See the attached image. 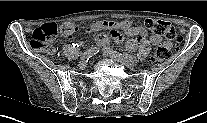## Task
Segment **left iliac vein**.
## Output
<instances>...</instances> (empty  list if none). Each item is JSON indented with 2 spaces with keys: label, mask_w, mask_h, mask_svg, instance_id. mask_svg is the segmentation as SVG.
<instances>
[{
  "label": "left iliac vein",
  "mask_w": 207,
  "mask_h": 123,
  "mask_svg": "<svg viewBox=\"0 0 207 123\" xmlns=\"http://www.w3.org/2000/svg\"><path fill=\"white\" fill-rule=\"evenodd\" d=\"M110 57H111L113 60H115V61H117V62H119V63L125 65V66L128 67V68H133V67L135 66L134 61L126 60V59H124V58H122V57H120V56L114 55V54H112V53H110Z\"/></svg>",
  "instance_id": "4c4485c4"
}]
</instances>
